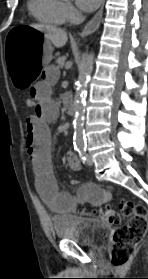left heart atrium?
Masks as SVG:
<instances>
[{
	"mask_svg": "<svg viewBox=\"0 0 148 279\" xmlns=\"http://www.w3.org/2000/svg\"><path fill=\"white\" fill-rule=\"evenodd\" d=\"M102 0H76L77 5L86 12H90L97 8Z\"/></svg>",
	"mask_w": 148,
	"mask_h": 279,
	"instance_id": "obj_1",
	"label": "left heart atrium"
}]
</instances>
